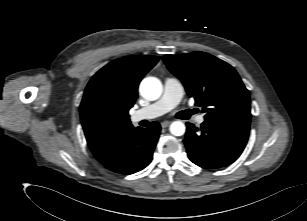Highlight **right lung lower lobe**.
<instances>
[{"label": "right lung lower lobe", "mask_w": 307, "mask_h": 221, "mask_svg": "<svg viewBox=\"0 0 307 221\" xmlns=\"http://www.w3.org/2000/svg\"><path fill=\"white\" fill-rule=\"evenodd\" d=\"M160 130L158 122H152L151 126L145 129L133 127L125 135L93 155L112 172L133 174L151 162Z\"/></svg>", "instance_id": "obj_1"}]
</instances>
